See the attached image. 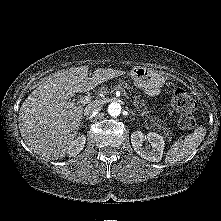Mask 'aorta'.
Segmentation results:
<instances>
[{
	"label": "aorta",
	"mask_w": 221,
	"mask_h": 221,
	"mask_svg": "<svg viewBox=\"0 0 221 221\" xmlns=\"http://www.w3.org/2000/svg\"><path fill=\"white\" fill-rule=\"evenodd\" d=\"M121 110H122L121 105L120 103L117 102H112L108 106V113L112 117L119 116L121 114Z\"/></svg>",
	"instance_id": "762f6f07"
}]
</instances>
